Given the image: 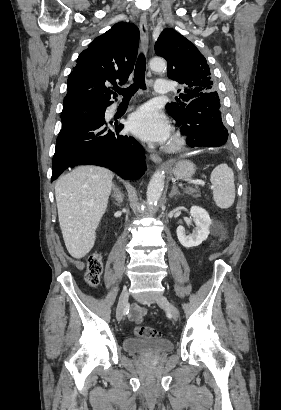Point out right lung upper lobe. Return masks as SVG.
<instances>
[{"mask_svg": "<svg viewBox=\"0 0 281 410\" xmlns=\"http://www.w3.org/2000/svg\"><path fill=\"white\" fill-rule=\"evenodd\" d=\"M139 30L132 23L119 22L94 39L77 59L68 77L63 107L91 105L106 107L112 102L109 84L128 80L134 67Z\"/></svg>", "mask_w": 281, "mask_h": 410, "instance_id": "1", "label": "right lung upper lobe"}]
</instances>
